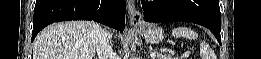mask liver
Masks as SVG:
<instances>
[{
    "label": "liver",
    "mask_w": 261,
    "mask_h": 59,
    "mask_svg": "<svg viewBox=\"0 0 261 59\" xmlns=\"http://www.w3.org/2000/svg\"><path fill=\"white\" fill-rule=\"evenodd\" d=\"M94 25L90 21H70L48 26L36 37L33 59H93Z\"/></svg>",
    "instance_id": "liver-1"
}]
</instances>
